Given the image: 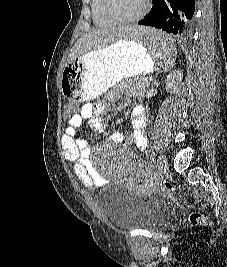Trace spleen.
<instances>
[{
	"label": "spleen",
	"instance_id": "3e777b00",
	"mask_svg": "<svg viewBox=\"0 0 227 267\" xmlns=\"http://www.w3.org/2000/svg\"><path fill=\"white\" fill-rule=\"evenodd\" d=\"M119 30H130L125 33L124 41L140 43L147 47L153 63H157L160 72H165L173 66L176 50V38H169L165 31H158V27H144V25H119ZM166 67V68H165Z\"/></svg>",
	"mask_w": 227,
	"mask_h": 267
}]
</instances>
